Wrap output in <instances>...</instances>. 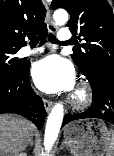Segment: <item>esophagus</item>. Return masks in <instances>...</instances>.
I'll return each instance as SVG.
<instances>
[{
    "label": "esophagus",
    "mask_w": 114,
    "mask_h": 156,
    "mask_svg": "<svg viewBox=\"0 0 114 156\" xmlns=\"http://www.w3.org/2000/svg\"><path fill=\"white\" fill-rule=\"evenodd\" d=\"M48 30H49V32H51V33H54V32L57 31V27H56L55 24L53 23L52 18L49 19ZM43 104H44L45 110H46L47 112H49V111L51 110L52 106H53L52 101L47 100V99H43Z\"/></svg>",
    "instance_id": "obj_1"
}]
</instances>
